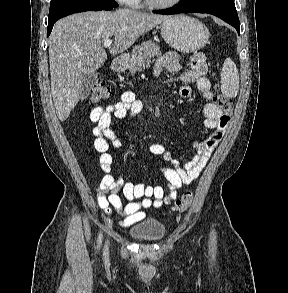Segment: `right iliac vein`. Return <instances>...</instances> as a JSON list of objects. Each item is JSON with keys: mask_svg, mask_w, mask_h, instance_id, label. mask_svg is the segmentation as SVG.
<instances>
[{"mask_svg": "<svg viewBox=\"0 0 288 293\" xmlns=\"http://www.w3.org/2000/svg\"><path fill=\"white\" fill-rule=\"evenodd\" d=\"M108 254V245H106V248H105V255Z\"/></svg>", "mask_w": 288, "mask_h": 293, "instance_id": "63e3f726", "label": "right iliac vein"}]
</instances>
